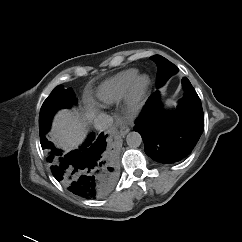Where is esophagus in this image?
<instances>
[{"instance_id":"34e87169","label":"esophagus","mask_w":242,"mask_h":242,"mask_svg":"<svg viewBox=\"0 0 242 242\" xmlns=\"http://www.w3.org/2000/svg\"><path fill=\"white\" fill-rule=\"evenodd\" d=\"M120 135L121 136H125L129 131H130V128L127 126V125H121L120 126Z\"/></svg>"}]
</instances>
